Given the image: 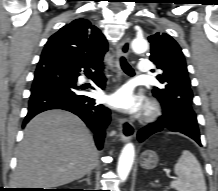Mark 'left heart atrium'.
<instances>
[{"label":"left heart atrium","mask_w":218,"mask_h":191,"mask_svg":"<svg viewBox=\"0 0 218 191\" xmlns=\"http://www.w3.org/2000/svg\"><path fill=\"white\" fill-rule=\"evenodd\" d=\"M109 103L115 108L135 113L143 107L144 99L131 87L123 86L109 97Z\"/></svg>","instance_id":"39dd6f15"}]
</instances>
